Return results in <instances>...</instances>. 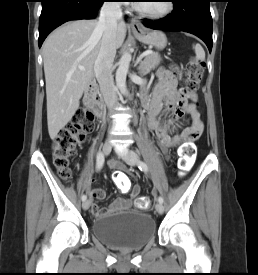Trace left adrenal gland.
Returning <instances> with one entry per match:
<instances>
[{"label":"left adrenal gland","mask_w":258,"mask_h":275,"mask_svg":"<svg viewBox=\"0 0 258 275\" xmlns=\"http://www.w3.org/2000/svg\"><path fill=\"white\" fill-rule=\"evenodd\" d=\"M136 65H137V62L134 64V67H136Z\"/></svg>","instance_id":"left-adrenal-gland-1"}]
</instances>
